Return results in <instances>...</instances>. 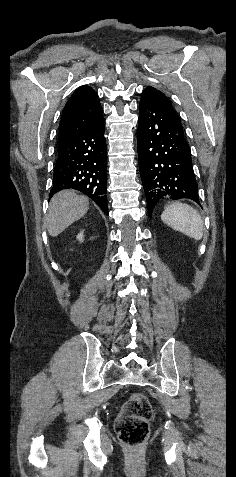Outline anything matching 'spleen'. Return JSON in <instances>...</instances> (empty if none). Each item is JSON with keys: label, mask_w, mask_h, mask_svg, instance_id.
<instances>
[{"label": "spleen", "mask_w": 236, "mask_h": 477, "mask_svg": "<svg viewBox=\"0 0 236 477\" xmlns=\"http://www.w3.org/2000/svg\"><path fill=\"white\" fill-rule=\"evenodd\" d=\"M161 220L195 240L203 237V220L197 210L188 204L174 203L168 206L162 213Z\"/></svg>", "instance_id": "obj_1"}]
</instances>
